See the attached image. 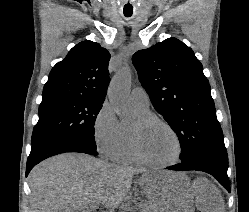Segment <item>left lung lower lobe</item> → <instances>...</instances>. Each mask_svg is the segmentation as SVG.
<instances>
[{
    "label": "left lung lower lobe",
    "instance_id": "1",
    "mask_svg": "<svg viewBox=\"0 0 249 212\" xmlns=\"http://www.w3.org/2000/svg\"><path fill=\"white\" fill-rule=\"evenodd\" d=\"M167 169L177 171L196 170L209 173L230 192L229 178L227 175L228 155L224 142L202 147L189 159L182 161L180 164L167 167Z\"/></svg>",
    "mask_w": 249,
    "mask_h": 212
}]
</instances>
